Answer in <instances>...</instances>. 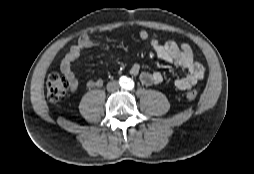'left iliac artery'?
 Masks as SVG:
<instances>
[{"instance_id": "left-iliac-artery-1", "label": "left iliac artery", "mask_w": 254, "mask_h": 174, "mask_svg": "<svg viewBox=\"0 0 254 174\" xmlns=\"http://www.w3.org/2000/svg\"><path fill=\"white\" fill-rule=\"evenodd\" d=\"M134 87V82L132 80H128L127 88L132 89Z\"/></svg>"}]
</instances>
